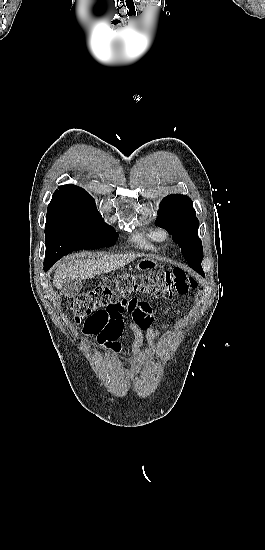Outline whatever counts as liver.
Listing matches in <instances>:
<instances>
[{
	"instance_id": "obj_1",
	"label": "liver",
	"mask_w": 265,
	"mask_h": 550,
	"mask_svg": "<svg viewBox=\"0 0 265 550\" xmlns=\"http://www.w3.org/2000/svg\"><path fill=\"white\" fill-rule=\"evenodd\" d=\"M136 257L137 255L134 254H125L105 255L96 259H74L58 266L54 274L53 283L57 289H60L65 283L70 281L77 282L90 279L97 274L115 271L130 263Z\"/></svg>"
}]
</instances>
